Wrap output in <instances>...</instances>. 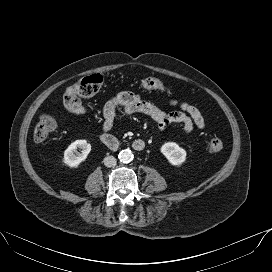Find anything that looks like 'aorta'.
<instances>
[{
    "label": "aorta",
    "instance_id": "obj_1",
    "mask_svg": "<svg viewBox=\"0 0 272 272\" xmlns=\"http://www.w3.org/2000/svg\"><path fill=\"white\" fill-rule=\"evenodd\" d=\"M118 158L123 163H129L133 159V153L130 149L120 151Z\"/></svg>",
    "mask_w": 272,
    "mask_h": 272
}]
</instances>
